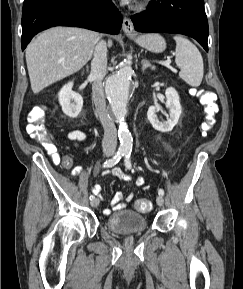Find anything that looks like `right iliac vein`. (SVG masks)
<instances>
[{
    "mask_svg": "<svg viewBox=\"0 0 243 289\" xmlns=\"http://www.w3.org/2000/svg\"><path fill=\"white\" fill-rule=\"evenodd\" d=\"M90 204L92 207H97L99 205V199L94 197L91 199Z\"/></svg>",
    "mask_w": 243,
    "mask_h": 289,
    "instance_id": "1",
    "label": "right iliac vein"
}]
</instances>
